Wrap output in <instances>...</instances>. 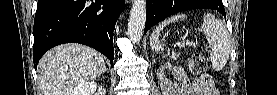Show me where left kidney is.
Segmentation results:
<instances>
[{
  "instance_id": "left-kidney-1",
  "label": "left kidney",
  "mask_w": 277,
  "mask_h": 95,
  "mask_svg": "<svg viewBox=\"0 0 277 95\" xmlns=\"http://www.w3.org/2000/svg\"><path fill=\"white\" fill-rule=\"evenodd\" d=\"M166 66H163L157 71V77H158V82L161 86V89L164 91V93H176L180 92V89L178 88L177 85H172V82L166 78L164 75V70L166 69Z\"/></svg>"
}]
</instances>
